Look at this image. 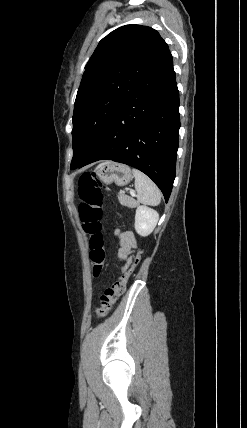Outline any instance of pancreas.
<instances>
[{
	"instance_id": "1",
	"label": "pancreas",
	"mask_w": 247,
	"mask_h": 428,
	"mask_svg": "<svg viewBox=\"0 0 247 428\" xmlns=\"http://www.w3.org/2000/svg\"><path fill=\"white\" fill-rule=\"evenodd\" d=\"M118 200L123 206H127L129 208H135L139 205V203L131 197H128L122 193H119Z\"/></svg>"
}]
</instances>
